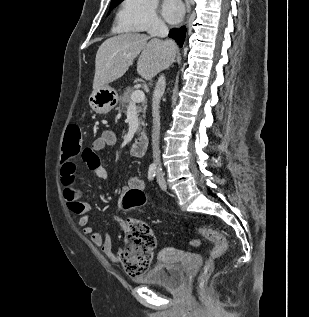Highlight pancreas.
Here are the masks:
<instances>
[{"instance_id": "cf45deb5", "label": "pancreas", "mask_w": 309, "mask_h": 317, "mask_svg": "<svg viewBox=\"0 0 309 317\" xmlns=\"http://www.w3.org/2000/svg\"><path fill=\"white\" fill-rule=\"evenodd\" d=\"M133 93V89L128 87L124 91L123 95L120 96L119 98V105L120 107L118 108L119 111H122L123 109H126L130 106L131 104V95ZM147 109V102L142 101L140 104L136 106V110L139 116V127L137 130V133L139 134L142 130V126H145V113ZM126 113V111H124Z\"/></svg>"}]
</instances>
